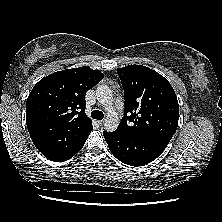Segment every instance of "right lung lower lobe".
<instances>
[{"instance_id": "1", "label": "right lung lower lobe", "mask_w": 222, "mask_h": 222, "mask_svg": "<svg viewBox=\"0 0 222 222\" xmlns=\"http://www.w3.org/2000/svg\"><path fill=\"white\" fill-rule=\"evenodd\" d=\"M85 141L86 140L68 149H57L54 151H45L42 154L46 158L52 161L63 162V161H66L67 159H70L73 155L78 153L82 149Z\"/></svg>"}]
</instances>
